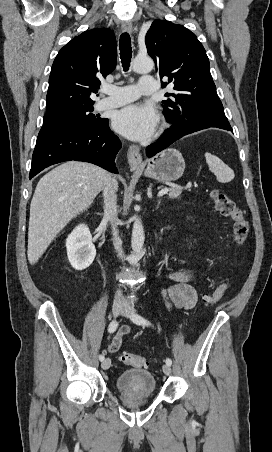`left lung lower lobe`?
<instances>
[{
	"instance_id": "0a47b994",
	"label": "left lung lower lobe",
	"mask_w": 272,
	"mask_h": 452,
	"mask_svg": "<svg viewBox=\"0 0 272 452\" xmlns=\"http://www.w3.org/2000/svg\"><path fill=\"white\" fill-rule=\"evenodd\" d=\"M210 127H217L233 132L229 122L218 124H201L196 126L173 124L170 129L164 132V134L161 136L160 141L151 144L146 148V154L148 157H152L181 137Z\"/></svg>"
}]
</instances>
